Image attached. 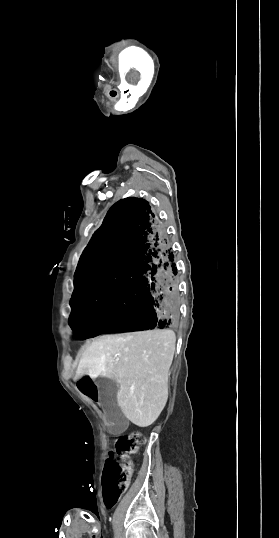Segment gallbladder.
<instances>
[{"label":"gallbladder","mask_w":279,"mask_h":538,"mask_svg":"<svg viewBox=\"0 0 279 538\" xmlns=\"http://www.w3.org/2000/svg\"><path fill=\"white\" fill-rule=\"evenodd\" d=\"M101 393L100 406L105 410V415L112 422L110 429L112 433H123L128 421L123 417L121 407L115 404L116 394L119 390L115 380L110 378H97L95 382Z\"/></svg>","instance_id":"obj_1"}]
</instances>
